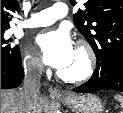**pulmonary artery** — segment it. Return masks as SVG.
Returning <instances> with one entry per match:
<instances>
[{
  "instance_id": "obj_1",
  "label": "pulmonary artery",
  "mask_w": 123,
  "mask_h": 113,
  "mask_svg": "<svg viewBox=\"0 0 123 113\" xmlns=\"http://www.w3.org/2000/svg\"><path fill=\"white\" fill-rule=\"evenodd\" d=\"M68 8L65 3H55L50 8L33 13L31 18L24 22L25 27H42L54 23L67 15Z\"/></svg>"
}]
</instances>
